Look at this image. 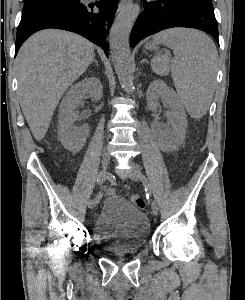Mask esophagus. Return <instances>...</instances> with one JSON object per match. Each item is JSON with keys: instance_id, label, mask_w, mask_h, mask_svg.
I'll return each mask as SVG.
<instances>
[{"instance_id": "esophagus-1", "label": "esophagus", "mask_w": 245, "mask_h": 300, "mask_svg": "<svg viewBox=\"0 0 245 300\" xmlns=\"http://www.w3.org/2000/svg\"><path fill=\"white\" fill-rule=\"evenodd\" d=\"M131 3V0H121L118 6L117 12L121 11L123 8H125L128 4Z\"/></svg>"}]
</instances>
